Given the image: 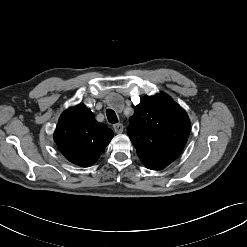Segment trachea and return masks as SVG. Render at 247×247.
Returning <instances> with one entry per match:
<instances>
[{
    "label": "trachea",
    "mask_w": 247,
    "mask_h": 247,
    "mask_svg": "<svg viewBox=\"0 0 247 247\" xmlns=\"http://www.w3.org/2000/svg\"><path fill=\"white\" fill-rule=\"evenodd\" d=\"M106 115H107L108 121L110 123H117L118 122V118L116 116V113L112 109H107Z\"/></svg>",
    "instance_id": "3493384b"
}]
</instances>
